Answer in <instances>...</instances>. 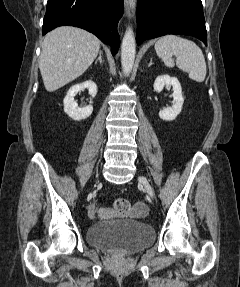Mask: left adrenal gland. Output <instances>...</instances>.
<instances>
[{
    "label": "left adrenal gland",
    "mask_w": 240,
    "mask_h": 287,
    "mask_svg": "<svg viewBox=\"0 0 240 287\" xmlns=\"http://www.w3.org/2000/svg\"><path fill=\"white\" fill-rule=\"evenodd\" d=\"M153 64L152 58L150 59V62L148 64V67H150Z\"/></svg>",
    "instance_id": "obj_1"
}]
</instances>
